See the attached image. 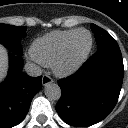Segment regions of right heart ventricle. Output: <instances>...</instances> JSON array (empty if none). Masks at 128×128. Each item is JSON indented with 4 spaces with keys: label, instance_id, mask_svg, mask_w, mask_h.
Masks as SVG:
<instances>
[{
    "label": "right heart ventricle",
    "instance_id": "right-heart-ventricle-1",
    "mask_svg": "<svg viewBox=\"0 0 128 128\" xmlns=\"http://www.w3.org/2000/svg\"><path fill=\"white\" fill-rule=\"evenodd\" d=\"M76 30H56L37 38L31 46L32 57L42 65L53 66Z\"/></svg>",
    "mask_w": 128,
    "mask_h": 128
}]
</instances>
